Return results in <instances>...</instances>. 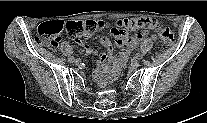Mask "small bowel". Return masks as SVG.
Segmentation results:
<instances>
[{
    "instance_id": "c3829d8e",
    "label": "small bowel",
    "mask_w": 207,
    "mask_h": 123,
    "mask_svg": "<svg viewBox=\"0 0 207 123\" xmlns=\"http://www.w3.org/2000/svg\"><path fill=\"white\" fill-rule=\"evenodd\" d=\"M113 34L115 36V43L118 47L124 48L123 52L120 53L119 57H127L130 51L135 49L138 44L143 41L144 39L148 40H155V36L150 34L147 29H144L137 33L134 36H129L128 33L121 29L119 26H114L112 28ZM101 45L107 50V54L101 55V62L102 63H111L113 61L112 53H113V43L110 38L108 37H101L100 39ZM78 44L84 48L87 54L95 53V50L90 46L78 41ZM117 58V59H118ZM117 62V60H116Z\"/></svg>"
}]
</instances>
